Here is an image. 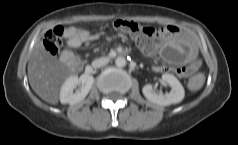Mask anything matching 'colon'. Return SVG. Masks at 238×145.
Segmentation results:
<instances>
[{"label": "colon", "instance_id": "colon-1", "mask_svg": "<svg viewBox=\"0 0 238 145\" xmlns=\"http://www.w3.org/2000/svg\"><path fill=\"white\" fill-rule=\"evenodd\" d=\"M114 30L126 33L133 37L139 47L148 54H155L158 50L159 40L164 34V30L141 25L135 21L117 19L111 26ZM63 28L55 27L49 30L44 37V47L47 53L55 57L60 51L62 45ZM204 76L196 74L189 80V87L197 90L202 87Z\"/></svg>", "mask_w": 238, "mask_h": 145}]
</instances>
